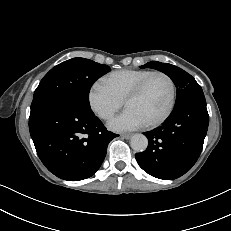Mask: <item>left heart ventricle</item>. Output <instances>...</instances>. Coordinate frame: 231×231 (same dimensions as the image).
I'll list each match as a JSON object with an SVG mask.
<instances>
[{
    "instance_id": "left-heart-ventricle-1",
    "label": "left heart ventricle",
    "mask_w": 231,
    "mask_h": 231,
    "mask_svg": "<svg viewBox=\"0 0 231 231\" xmlns=\"http://www.w3.org/2000/svg\"><path fill=\"white\" fill-rule=\"evenodd\" d=\"M170 100V82L163 76H156L150 81L141 96L126 105V109L133 110L145 123H148L165 113Z\"/></svg>"
}]
</instances>
